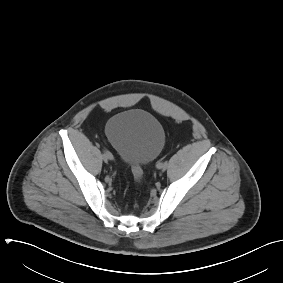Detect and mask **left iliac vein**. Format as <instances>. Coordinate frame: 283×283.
<instances>
[{
    "label": "left iliac vein",
    "instance_id": "left-iliac-vein-1",
    "mask_svg": "<svg viewBox=\"0 0 283 283\" xmlns=\"http://www.w3.org/2000/svg\"><path fill=\"white\" fill-rule=\"evenodd\" d=\"M158 168L164 171V170H166L167 165L163 163V164L159 165Z\"/></svg>",
    "mask_w": 283,
    "mask_h": 283
}]
</instances>
